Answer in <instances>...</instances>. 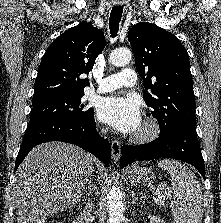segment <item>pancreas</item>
<instances>
[{"mask_svg":"<svg viewBox=\"0 0 221 223\" xmlns=\"http://www.w3.org/2000/svg\"><path fill=\"white\" fill-rule=\"evenodd\" d=\"M153 201L157 206H164L165 196L162 193H157V196L153 197Z\"/></svg>","mask_w":221,"mask_h":223,"instance_id":"obj_1","label":"pancreas"}]
</instances>
